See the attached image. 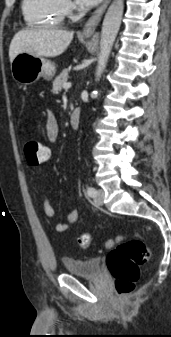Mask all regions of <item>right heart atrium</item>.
I'll return each instance as SVG.
<instances>
[{"mask_svg": "<svg viewBox=\"0 0 171 337\" xmlns=\"http://www.w3.org/2000/svg\"><path fill=\"white\" fill-rule=\"evenodd\" d=\"M63 7L68 15H72L75 11V6L70 0H63Z\"/></svg>", "mask_w": 171, "mask_h": 337, "instance_id": "obj_1", "label": "right heart atrium"}]
</instances>
